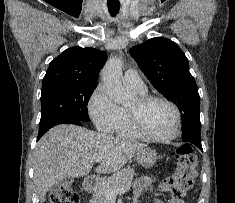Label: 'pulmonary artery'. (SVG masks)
<instances>
[{"label": "pulmonary artery", "mask_w": 235, "mask_h": 203, "mask_svg": "<svg viewBox=\"0 0 235 203\" xmlns=\"http://www.w3.org/2000/svg\"><path fill=\"white\" fill-rule=\"evenodd\" d=\"M123 81L132 89H135L137 91H146V86L142 78L140 77L138 72L133 69H128L125 71Z\"/></svg>", "instance_id": "pulmonary-artery-1"}]
</instances>
